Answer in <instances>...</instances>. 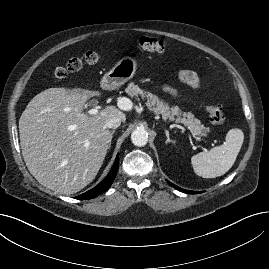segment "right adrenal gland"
I'll return each instance as SVG.
<instances>
[{
    "instance_id": "obj_1",
    "label": "right adrenal gland",
    "mask_w": 269,
    "mask_h": 269,
    "mask_svg": "<svg viewBox=\"0 0 269 269\" xmlns=\"http://www.w3.org/2000/svg\"><path fill=\"white\" fill-rule=\"evenodd\" d=\"M114 132H115V131H113V132L111 133V139H110V142H109V145H108V149H110V147H111L112 137H113Z\"/></svg>"
}]
</instances>
